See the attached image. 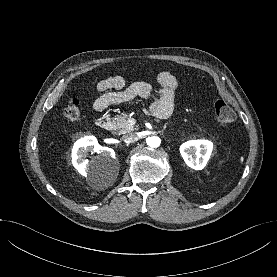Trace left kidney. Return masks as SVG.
I'll list each match as a JSON object with an SVG mask.
<instances>
[{"mask_svg":"<svg viewBox=\"0 0 277 277\" xmlns=\"http://www.w3.org/2000/svg\"><path fill=\"white\" fill-rule=\"evenodd\" d=\"M213 144L208 140H191L180 146V153L185 163L195 170H201L207 164Z\"/></svg>","mask_w":277,"mask_h":277,"instance_id":"left-kidney-1","label":"left kidney"}]
</instances>
